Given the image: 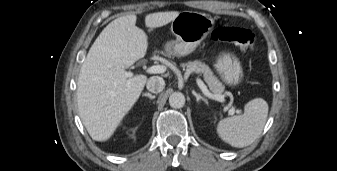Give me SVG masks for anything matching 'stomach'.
Masks as SVG:
<instances>
[{
	"instance_id": "1",
	"label": "stomach",
	"mask_w": 337,
	"mask_h": 171,
	"mask_svg": "<svg viewBox=\"0 0 337 171\" xmlns=\"http://www.w3.org/2000/svg\"><path fill=\"white\" fill-rule=\"evenodd\" d=\"M213 27L214 20L207 14L192 11L180 12L171 23V31L176 40L165 44L166 53L177 57L192 53ZM214 67L228 85H237L243 78L240 61L234 54H221Z\"/></svg>"
}]
</instances>
